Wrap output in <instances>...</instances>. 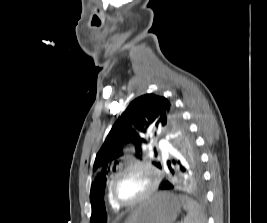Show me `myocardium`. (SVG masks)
I'll use <instances>...</instances> for the list:
<instances>
[{
	"mask_svg": "<svg viewBox=\"0 0 267 223\" xmlns=\"http://www.w3.org/2000/svg\"><path fill=\"white\" fill-rule=\"evenodd\" d=\"M131 169H141L144 170L149 174L151 177V183L148 187V189L137 199L129 202H124L119 200L114 192V186L115 182L122 174L125 172L131 170ZM161 180V174L160 171L151 163L143 160H132L129 161L124 167L119 169L111 178L109 182V195L114 202V204L120 208H133L135 206H138L145 201H147L150 197L154 195V193L157 191L159 183Z\"/></svg>",
	"mask_w": 267,
	"mask_h": 223,
	"instance_id": "myocardium-1",
	"label": "myocardium"
}]
</instances>
